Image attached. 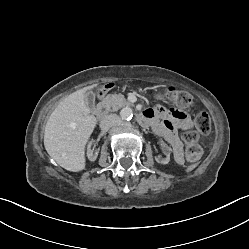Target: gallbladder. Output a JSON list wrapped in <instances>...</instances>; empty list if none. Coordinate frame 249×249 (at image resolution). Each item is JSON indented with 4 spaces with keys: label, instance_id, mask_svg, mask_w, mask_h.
Segmentation results:
<instances>
[{
    "label": "gallbladder",
    "instance_id": "1",
    "mask_svg": "<svg viewBox=\"0 0 249 249\" xmlns=\"http://www.w3.org/2000/svg\"><path fill=\"white\" fill-rule=\"evenodd\" d=\"M95 94L92 91H87L85 94V102L91 111L95 110Z\"/></svg>",
    "mask_w": 249,
    "mask_h": 249
}]
</instances>
